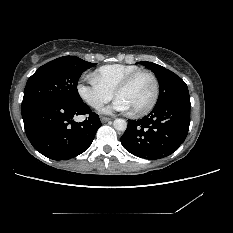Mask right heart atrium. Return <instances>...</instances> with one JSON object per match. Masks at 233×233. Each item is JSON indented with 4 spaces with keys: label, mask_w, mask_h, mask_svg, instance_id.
Returning a JSON list of instances; mask_svg holds the SVG:
<instances>
[{
    "label": "right heart atrium",
    "mask_w": 233,
    "mask_h": 233,
    "mask_svg": "<svg viewBox=\"0 0 233 233\" xmlns=\"http://www.w3.org/2000/svg\"><path fill=\"white\" fill-rule=\"evenodd\" d=\"M77 93L93 109H100L113 97V92L91 79L87 83H79Z\"/></svg>",
    "instance_id": "obj_1"
}]
</instances>
